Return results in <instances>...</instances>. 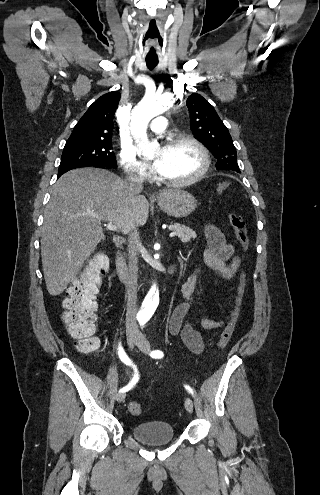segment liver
Here are the masks:
<instances>
[{
  "instance_id": "6515ba94",
  "label": "liver",
  "mask_w": 320,
  "mask_h": 495,
  "mask_svg": "<svg viewBox=\"0 0 320 495\" xmlns=\"http://www.w3.org/2000/svg\"><path fill=\"white\" fill-rule=\"evenodd\" d=\"M148 215L147 199L131 196L125 182L111 172L80 168L64 173L53 187L41 231L42 266L49 294L63 293L105 239L103 221L128 234L133 226H143Z\"/></svg>"
}]
</instances>
